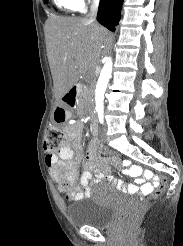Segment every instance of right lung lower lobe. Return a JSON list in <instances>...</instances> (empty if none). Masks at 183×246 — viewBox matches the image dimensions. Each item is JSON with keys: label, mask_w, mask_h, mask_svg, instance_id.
<instances>
[{"label": "right lung lower lobe", "mask_w": 183, "mask_h": 246, "mask_svg": "<svg viewBox=\"0 0 183 246\" xmlns=\"http://www.w3.org/2000/svg\"><path fill=\"white\" fill-rule=\"evenodd\" d=\"M124 0H100L97 20L111 31H115L121 17Z\"/></svg>", "instance_id": "right-lung-lower-lobe-1"}]
</instances>
